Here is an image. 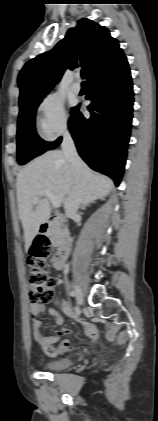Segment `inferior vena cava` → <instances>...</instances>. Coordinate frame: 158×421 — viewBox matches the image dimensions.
Wrapping results in <instances>:
<instances>
[{
    "label": "inferior vena cava",
    "mask_w": 158,
    "mask_h": 421,
    "mask_svg": "<svg viewBox=\"0 0 158 421\" xmlns=\"http://www.w3.org/2000/svg\"><path fill=\"white\" fill-rule=\"evenodd\" d=\"M61 147L68 163L70 164L74 176V188L64 202L66 216L72 218L77 214L82 199V191L80 186L82 160L77 153L74 141L68 130L63 132Z\"/></svg>",
    "instance_id": "602c4592"
}]
</instances>
